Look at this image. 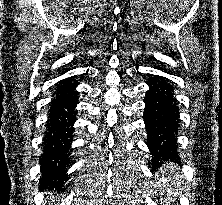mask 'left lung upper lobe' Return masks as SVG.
Listing matches in <instances>:
<instances>
[{"label": "left lung upper lobe", "instance_id": "left-lung-upper-lobe-1", "mask_svg": "<svg viewBox=\"0 0 222 205\" xmlns=\"http://www.w3.org/2000/svg\"><path fill=\"white\" fill-rule=\"evenodd\" d=\"M158 154H164V152L162 150H159V153Z\"/></svg>", "mask_w": 222, "mask_h": 205}]
</instances>
